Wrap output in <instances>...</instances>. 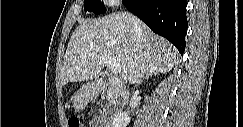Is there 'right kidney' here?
I'll return each instance as SVG.
<instances>
[{"mask_svg": "<svg viewBox=\"0 0 243 127\" xmlns=\"http://www.w3.org/2000/svg\"><path fill=\"white\" fill-rule=\"evenodd\" d=\"M148 97L145 96V100H147ZM130 122V117L127 113L122 112L115 115L112 121V127H126Z\"/></svg>", "mask_w": 243, "mask_h": 127, "instance_id": "right-kidney-1", "label": "right kidney"}]
</instances>
